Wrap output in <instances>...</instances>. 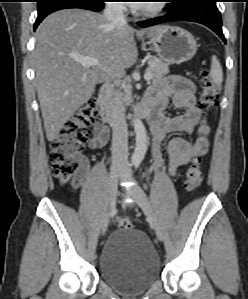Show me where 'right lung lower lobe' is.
Masks as SVG:
<instances>
[{
	"label": "right lung lower lobe",
	"mask_w": 248,
	"mask_h": 299,
	"mask_svg": "<svg viewBox=\"0 0 248 299\" xmlns=\"http://www.w3.org/2000/svg\"><path fill=\"white\" fill-rule=\"evenodd\" d=\"M105 0H43L38 2V17L34 24V30L40 22L50 13L67 8H81L91 11H100L104 7Z\"/></svg>",
	"instance_id": "98d812e1"
}]
</instances>
